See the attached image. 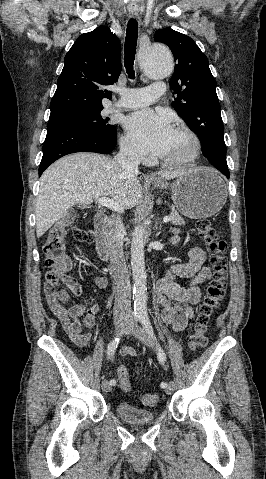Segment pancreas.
Instances as JSON below:
<instances>
[{
	"instance_id": "pancreas-1",
	"label": "pancreas",
	"mask_w": 266,
	"mask_h": 479,
	"mask_svg": "<svg viewBox=\"0 0 266 479\" xmlns=\"http://www.w3.org/2000/svg\"><path fill=\"white\" fill-rule=\"evenodd\" d=\"M169 216L171 218V220H170L171 224H173V225H185L184 219L179 215V213L177 211L172 210L170 212Z\"/></svg>"
}]
</instances>
